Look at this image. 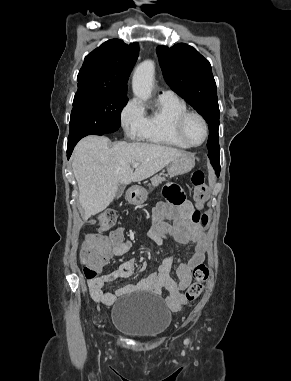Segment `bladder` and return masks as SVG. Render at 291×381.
<instances>
[{
    "label": "bladder",
    "mask_w": 291,
    "mask_h": 381,
    "mask_svg": "<svg viewBox=\"0 0 291 381\" xmlns=\"http://www.w3.org/2000/svg\"><path fill=\"white\" fill-rule=\"evenodd\" d=\"M172 321V313L157 295L127 294L112 307L115 329L137 338H153L164 334Z\"/></svg>",
    "instance_id": "31cf9c89"
}]
</instances>
